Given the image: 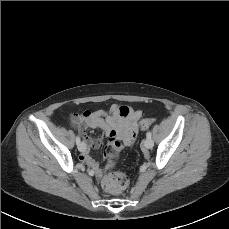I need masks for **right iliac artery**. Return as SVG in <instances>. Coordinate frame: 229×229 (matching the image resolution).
<instances>
[{
  "label": "right iliac artery",
  "instance_id": "obj_1",
  "mask_svg": "<svg viewBox=\"0 0 229 229\" xmlns=\"http://www.w3.org/2000/svg\"><path fill=\"white\" fill-rule=\"evenodd\" d=\"M76 144H77V145L80 144V137H79V136L76 137Z\"/></svg>",
  "mask_w": 229,
  "mask_h": 229
}]
</instances>
